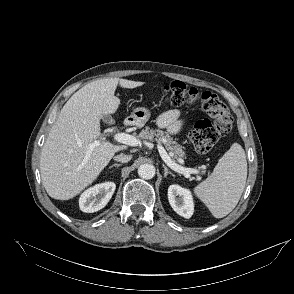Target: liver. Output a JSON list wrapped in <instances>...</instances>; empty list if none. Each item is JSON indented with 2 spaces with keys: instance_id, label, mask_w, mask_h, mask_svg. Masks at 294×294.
I'll return each instance as SVG.
<instances>
[{
  "instance_id": "obj_1",
  "label": "liver",
  "mask_w": 294,
  "mask_h": 294,
  "mask_svg": "<svg viewBox=\"0 0 294 294\" xmlns=\"http://www.w3.org/2000/svg\"><path fill=\"white\" fill-rule=\"evenodd\" d=\"M118 84L133 89L144 82L119 78L95 80L77 92L61 109L44 143L40 173L48 195L68 200L91 185L114 154L127 148L106 141L100 119L114 114L120 99L114 95ZM99 144L91 147L95 142Z\"/></svg>"
}]
</instances>
